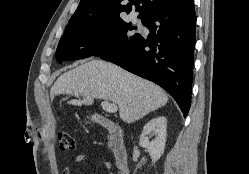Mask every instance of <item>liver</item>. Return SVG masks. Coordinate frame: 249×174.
Wrapping results in <instances>:
<instances>
[{
	"label": "liver",
	"instance_id": "1",
	"mask_svg": "<svg viewBox=\"0 0 249 174\" xmlns=\"http://www.w3.org/2000/svg\"><path fill=\"white\" fill-rule=\"evenodd\" d=\"M75 95L68 103L92 105L95 99L118 105L120 118L133 123L168 102V96L158 85L102 60H90L62 74L50 90L56 95Z\"/></svg>",
	"mask_w": 249,
	"mask_h": 174
}]
</instances>
